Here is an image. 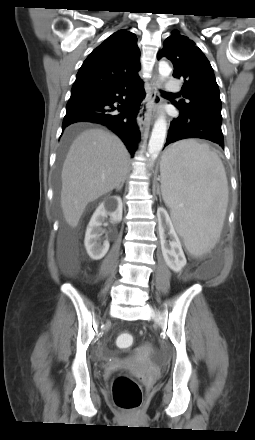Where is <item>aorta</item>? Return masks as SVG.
Segmentation results:
<instances>
[{"instance_id":"aorta-1","label":"aorta","mask_w":255,"mask_h":440,"mask_svg":"<svg viewBox=\"0 0 255 440\" xmlns=\"http://www.w3.org/2000/svg\"><path fill=\"white\" fill-rule=\"evenodd\" d=\"M171 73L170 66L161 61L159 63V74L162 79L168 77ZM167 132V123L165 117L161 115L155 122L151 137L148 144V153L150 155L151 161H154L157 157L161 149L163 148L165 138Z\"/></svg>"}]
</instances>
